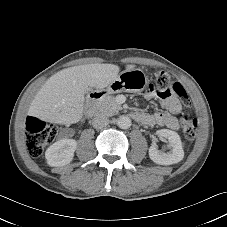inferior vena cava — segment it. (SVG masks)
Segmentation results:
<instances>
[{"instance_id":"1","label":"inferior vena cava","mask_w":227,"mask_h":227,"mask_svg":"<svg viewBox=\"0 0 227 227\" xmlns=\"http://www.w3.org/2000/svg\"><path fill=\"white\" fill-rule=\"evenodd\" d=\"M109 124V119L104 115H97L92 119V125L96 129H101Z\"/></svg>"}]
</instances>
